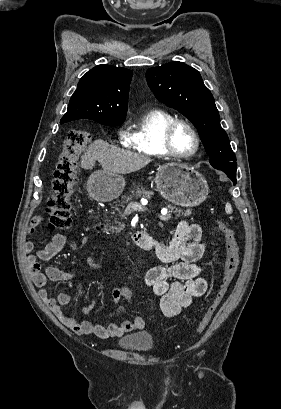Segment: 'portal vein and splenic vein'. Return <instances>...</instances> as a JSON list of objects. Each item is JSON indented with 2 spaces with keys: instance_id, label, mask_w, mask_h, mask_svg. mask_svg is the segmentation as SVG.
Masks as SVG:
<instances>
[{
  "instance_id": "portal-vein-and-splenic-vein-1",
  "label": "portal vein and splenic vein",
  "mask_w": 281,
  "mask_h": 409,
  "mask_svg": "<svg viewBox=\"0 0 281 409\" xmlns=\"http://www.w3.org/2000/svg\"><path fill=\"white\" fill-rule=\"evenodd\" d=\"M130 208H131V211L133 213H136L139 208L142 209V206L140 207L137 200H132ZM143 210H148L149 212H156L157 208L156 207H149L148 209H143ZM148 214H151V213H148L147 211L143 212L144 216H147ZM154 217L158 218L159 213H154ZM171 219H172L171 213H169L168 215H162V217H161V221H170Z\"/></svg>"
}]
</instances>
